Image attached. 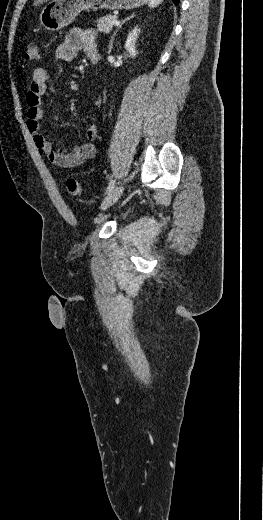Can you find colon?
<instances>
[{"instance_id": "5ec220e1", "label": "colon", "mask_w": 263, "mask_h": 520, "mask_svg": "<svg viewBox=\"0 0 263 520\" xmlns=\"http://www.w3.org/2000/svg\"><path fill=\"white\" fill-rule=\"evenodd\" d=\"M25 59L28 61H38L40 59V51L37 43L31 42L28 44L25 52ZM65 186L70 196L77 197L81 194V185L76 178H67L65 181Z\"/></svg>"}]
</instances>
